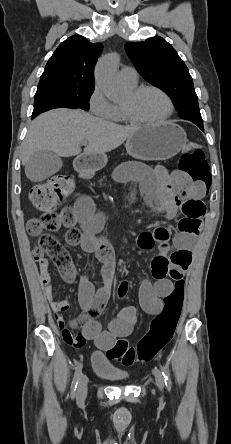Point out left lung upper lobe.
Listing matches in <instances>:
<instances>
[{"mask_svg": "<svg viewBox=\"0 0 231 444\" xmlns=\"http://www.w3.org/2000/svg\"><path fill=\"white\" fill-rule=\"evenodd\" d=\"M125 49L140 75L171 96L182 118L203 124L192 77L171 44L155 36L127 42Z\"/></svg>", "mask_w": 231, "mask_h": 444, "instance_id": "1", "label": "left lung upper lobe"}]
</instances>
